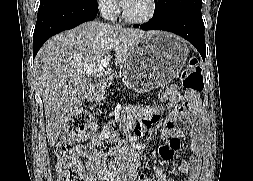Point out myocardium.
I'll return each instance as SVG.
<instances>
[{
  "instance_id": "1",
  "label": "myocardium",
  "mask_w": 253,
  "mask_h": 181,
  "mask_svg": "<svg viewBox=\"0 0 253 181\" xmlns=\"http://www.w3.org/2000/svg\"><path fill=\"white\" fill-rule=\"evenodd\" d=\"M149 2H150V8H149V11L146 15H144L142 17L132 16V15L128 14L127 11L125 10V8L123 7V10H122L123 18L127 22H130L133 24H146V23L150 22L156 15L158 4H157V0H150Z\"/></svg>"
}]
</instances>
